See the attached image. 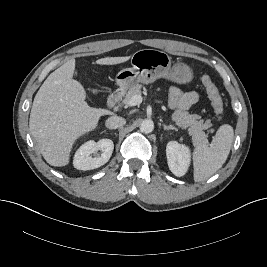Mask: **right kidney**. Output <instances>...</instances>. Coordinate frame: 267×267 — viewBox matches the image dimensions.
<instances>
[{
	"instance_id": "obj_1",
	"label": "right kidney",
	"mask_w": 267,
	"mask_h": 267,
	"mask_svg": "<svg viewBox=\"0 0 267 267\" xmlns=\"http://www.w3.org/2000/svg\"><path fill=\"white\" fill-rule=\"evenodd\" d=\"M114 149L113 141L101 139L98 142L90 140L84 143L75 153L73 164L78 170H92L107 163ZM101 150V154L92 157L93 153Z\"/></svg>"
}]
</instances>
